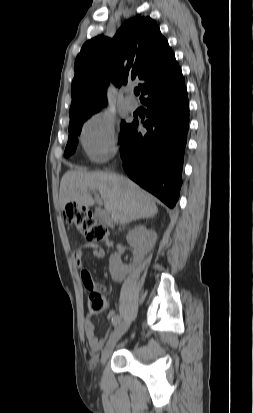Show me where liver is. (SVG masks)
Here are the masks:
<instances>
[{
    "instance_id": "liver-1",
    "label": "liver",
    "mask_w": 253,
    "mask_h": 413,
    "mask_svg": "<svg viewBox=\"0 0 253 413\" xmlns=\"http://www.w3.org/2000/svg\"><path fill=\"white\" fill-rule=\"evenodd\" d=\"M98 190L104 207L114 221L125 224L157 214L153 197L129 178L106 172L87 173L81 170L66 172L60 183L59 206L64 209L70 202L92 206L90 191Z\"/></svg>"
}]
</instances>
